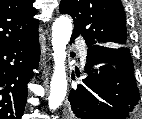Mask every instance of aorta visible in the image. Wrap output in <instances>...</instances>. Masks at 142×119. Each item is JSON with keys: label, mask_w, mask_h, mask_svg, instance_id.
Returning a JSON list of instances; mask_svg holds the SVG:
<instances>
[{"label": "aorta", "mask_w": 142, "mask_h": 119, "mask_svg": "<svg viewBox=\"0 0 142 119\" xmlns=\"http://www.w3.org/2000/svg\"><path fill=\"white\" fill-rule=\"evenodd\" d=\"M72 29V21L69 17L64 15L56 18L52 26L54 72L50 84V95L48 97L50 110L59 108L66 96V47L70 40Z\"/></svg>", "instance_id": "aorta-1"}]
</instances>
